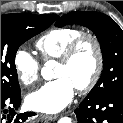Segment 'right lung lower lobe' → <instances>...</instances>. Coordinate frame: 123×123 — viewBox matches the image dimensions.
I'll list each match as a JSON object with an SVG mask.
<instances>
[{
  "instance_id": "obj_1",
  "label": "right lung lower lobe",
  "mask_w": 123,
  "mask_h": 123,
  "mask_svg": "<svg viewBox=\"0 0 123 123\" xmlns=\"http://www.w3.org/2000/svg\"><path fill=\"white\" fill-rule=\"evenodd\" d=\"M20 104V92L12 95L1 94V123H23L28 117L35 115L33 112L17 114L15 110Z\"/></svg>"
}]
</instances>
